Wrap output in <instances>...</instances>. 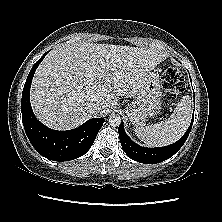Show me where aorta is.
Instances as JSON below:
<instances>
[{"mask_svg": "<svg viewBox=\"0 0 222 222\" xmlns=\"http://www.w3.org/2000/svg\"><path fill=\"white\" fill-rule=\"evenodd\" d=\"M109 125L113 126V127H117L120 125L121 123V117L117 114H111L109 116Z\"/></svg>", "mask_w": 222, "mask_h": 222, "instance_id": "1", "label": "aorta"}]
</instances>
